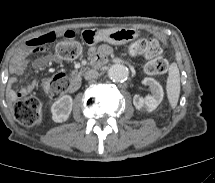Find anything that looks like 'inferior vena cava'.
<instances>
[{
	"label": "inferior vena cava",
	"mask_w": 215,
	"mask_h": 183,
	"mask_svg": "<svg viewBox=\"0 0 215 183\" xmlns=\"http://www.w3.org/2000/svg\"><path fill=\"white\" fill-rule=\"evenodd\" d=\"M98 72L94 69H90V70H87L85 73H84V78L86 80H94V79H97L98 78Z\"/></svg>",
	"instance_id": "602c4592"
}]
</instances>
